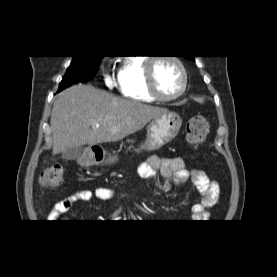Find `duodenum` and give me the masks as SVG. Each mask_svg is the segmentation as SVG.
I'll return each mask as SVG.
<instances>
[{"label": "duodenum", "mask_w": 277, "mask_h": 277, "mask_svg": "<svg viewBox=\"0 0 277 277\" xmlns=\"http://www.w3.org/2000/svg\"><path fill=\"white\" fill-rule=\"evenodd\" d=\"M103 159V153L102 152H97V151H94L93 154H92V160L93 161H101Z\"/></svg>", "instance_id": "410a0bca"}]
</instances>
